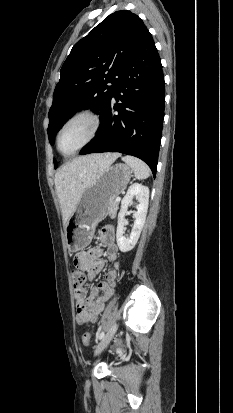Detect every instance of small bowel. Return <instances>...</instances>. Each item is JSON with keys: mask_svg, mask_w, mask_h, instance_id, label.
Instances as JSON below:
<instances>
[{"mask_svg": "<svg viewBox=\"0 0 233 413\" xmlns=\"http://www.w3.org/2000/svg\"><path fill=\"white\" fill-rule=\"evenodd\" d=\"M99 240L103 247H94L87 252L78 253L75 257V264L86 271L90 279H93L104 268L103 255L111 262L110 268L98 287H92L89 290L84 288L75 290L76 321L78 324H91L98 320L100 313L113 294L120 269L119 250L115 243L114 228L112 226L104 227L100 231Z\"/></svg>", "mask_w": 233, "mask_h": 413, "instance_id": "1", "label": "small bowel"}]
</instances>
